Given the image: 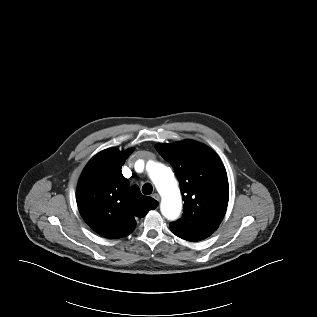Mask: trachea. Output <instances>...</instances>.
Here are the masks:
<instances>
[{
    "instance_id": "1",
    "label": "trachea",
    "mask_w": 317,
    "mask_h": 317,
    "mask_svg": "<svg viewBox=\"0 0 317 317\" xmlns=\"http://www.w3.org/2000/svg\"><path fill=\"white\" fill-rule=\"evenodd\" d=\"M152 191H153V187L150 183H146L143 185L142 187L143 194L149 195L152 193Z\"/></svg>"
}]
</instances>
